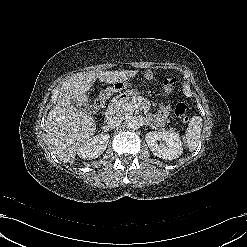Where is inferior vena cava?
<instances>
[{
    "label": "inferior vena cava",
    "instance_id": "inferior-vena-cava-1",
    "mask_svg": "<svg viewBox=\"0 0 247 247\" xmlns=\"http://www.w3.org/2000/svg\"><path fill=\"white\" fill-rule=\"evenodd\" d=\"M121 119L119 117H112V118H109L108 121H107V127L108 128H116L118 127L120 124H121Z\"/></svg>",
    "mask_w": 247,
    "mask_h": 247
}]
</instances>
